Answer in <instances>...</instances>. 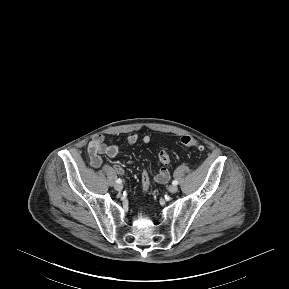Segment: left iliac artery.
<instances>
[{
	"label": "left iliac artery",
	"instance_id": "obj_1",
	"mask_svg": "<svg viewBox=\"0 0 289 289\" xmlns=\"http://www.w3.org/2000/svg\"><path fill=\"white\" fill-rule=\"evenodd\" d=\"M172 184H173V185H177V184H178V181H177V180H173Z\"/></svg>",
	"mask_w": 289,
	"mask_h": 289
}]
</instances>
